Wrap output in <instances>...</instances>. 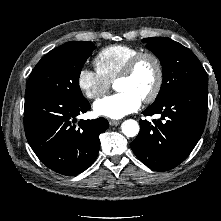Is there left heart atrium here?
Segmentation results:
<instances>
[{
    "label": "left heart atrium",
    "mask_w": 221,
    "mask_h": 221,
    "mask_svg": "<svg viewBox=\"0 0 221 221\" xmlns=\"http://www.w3.org/2000/svg\"><path fill=\"white\" fill-rule=\"evenodd\" d=\"M141 104L142 99L138 95L130 91H121L96 101L93 108L99 116L119 119L137 111Z\"/></svg>",
    "instance_id": "obj_1"
}]
</instances>
